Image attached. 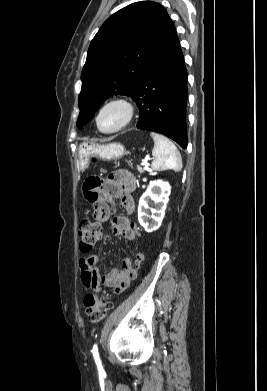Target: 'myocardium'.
<instances>
[{
	"mask_svg": "<svg viewBox=\"0 0 267 391\" xmlns=\"http://www.w3.org/2000/svg\"><path fill=\"white\" fill-rule=\"evenodd\" d=\"M112 105L121 106L124 109L125 117H124L122 124L119 127H117L116 129L110 130V131H105L100 127V123H99L100 116H101L102 112L107 107L112 106ZM134 114H135L134 104L132 103V101L129 98L124 97V96L112 97V98L108 99L107 101H105L98 109L96 117H95V123H96L98 130L101 133L113 134V133H117V132L123 130L124 128H126L133 120Z\"/></svg>",
	"mask_w": 267,
	"mask_h": 391,
	"instance_id": "obj_1",
	"label": "myocardium"
}]
</instances>
